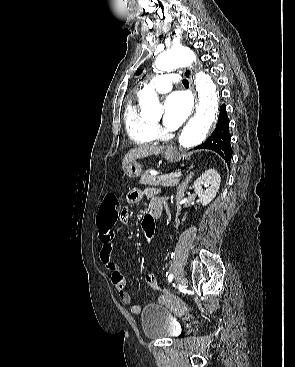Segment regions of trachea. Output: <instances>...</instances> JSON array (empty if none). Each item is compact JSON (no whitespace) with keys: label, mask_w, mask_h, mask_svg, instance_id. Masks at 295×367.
<instances>
[{"label":"trachea","mask_w":295,"mask_h":367,"mask_svg":"<svg viewBox=\"0 0 295 367\" xmlns=\"http://www.w3.org/2000/svg\"><path fill=\"white\" fill-rule=\"evenodd\" d=\"M182 83H183V85H184L185 87H188V86H189V82H188V80H186V79H184V80L182 81Z\"/></svg>","instance_id":"3493384b"}]
</instances>
